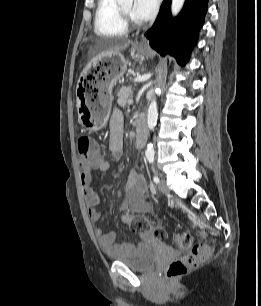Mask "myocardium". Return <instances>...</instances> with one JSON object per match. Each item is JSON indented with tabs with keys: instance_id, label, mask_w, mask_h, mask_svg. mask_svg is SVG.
Segmentation results:
<instances>
[{
	"instance_id": "myocardium-1",
	"label": "myocardium",
	"mask_w": 261,
	"mask_h": 306,
	"mask_svg": "<svg viewBox=\"0 0 261 306\" xmlns=\"http://www.w3.org/2000/svg\"><path fill=\"white\" fill-rule=\"evenodd\" d=\"M119 10L127 27L138 28L141 26V23L126 13L121 6H119Z\"/></svg>"
}]
</instances>
